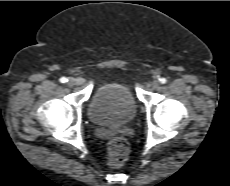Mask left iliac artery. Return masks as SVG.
I'll return each mask as SVG.
<instances>
[{"label":"left iliac artery","instance_id":"left-iliac-artery-1","mask_svg":"<svg viewBox=\"0 0 230 186\" xmlns=\"http://www.w3.org/2000/svg\"><path fill=\"white\" fill-rule=\"evenodd\" d=\"M159 81H160V83L165 84L167 82V79L166 78H160Z\"/></svg>","mask_w":230,"mask_h":186}]
</instances>
